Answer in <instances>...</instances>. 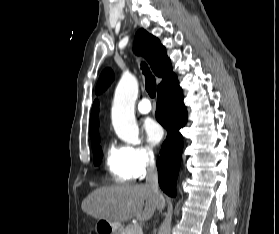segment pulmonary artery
<instances>
[{
  "label": "pulmonary artery",
  "mask_w": 279,
  "mask_h": 234,
  "mask_svg": "<svg viewBox=\"0 0 279 234\" xmlns=\"http://www.w3.org/2000/svg\"><path fill=\"white\" fill-rule=\"evenodd\" d=\"M151 110H152V105L147 98H143L137 105V111L140 114H148Z\"/></svg>",
  "instance_id": "e3ab8cb5"
}]
</instances>
